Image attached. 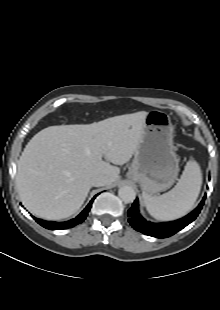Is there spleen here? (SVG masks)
Returning <instances> with one entry per match:
<instances>
[{
  "instance_id": "spleen-1",
  "label": "spleen",
  "mask_w": 220,
  "mask_h": 310,
  "mask_svg": "<svg viewBox=\"0 0 220 310\" xmlns=\"http://www.w3.org/2000/svg\"><path fill=\"white\" fill-rule=\"evenodd\" d=\"M202 185L200 166L189 160L173 189L160 196L143 193L149 214L157 220L169 221L186 215L194 206Z\"/></svg>"
}]
</instances>
